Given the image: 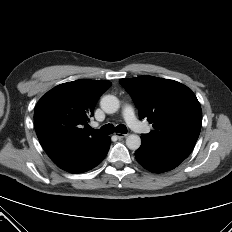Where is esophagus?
I'll return each instance as SVG.
<instances>
[{"mask_svg":"<svg viewBox=\"0 0 232 232\" xmlns=\"http://www.w3.org/2000/svg\"><path fill=\"white\" fill-rule=\"evenodd\" d=\"M129 134H122V133H115V136H117L119 139L127 137Z\"/></svg>","mask_w":232,"mask_h":232,"instance_id":"esophagus-1","label":"esophagus"}]
</instances>
